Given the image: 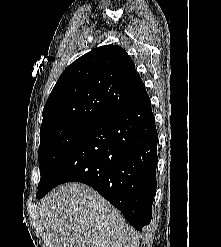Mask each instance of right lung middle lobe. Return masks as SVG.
I'll use <instances>...</instances> for the list:
<instances>
[{"label": "right lung middle lobe", "instance_id": "1", "mask_svg": "<svg viewBox=\"0 0 221 247\" xmlns=\"http://www.w3.org/2000/svg\"><path fill=\"white\" fill-rule=\"evenodd\" d=\"M94 126L86 123H69L40 131L39 166L41 179L38 191L41 190L68 151Z\"/></svg>", "mask_w": 221, "mask_h": 247}]
</instances>
